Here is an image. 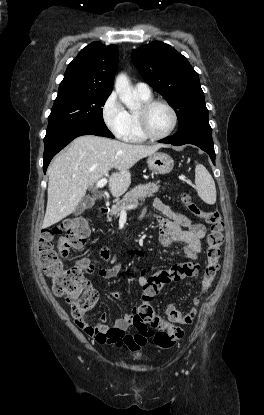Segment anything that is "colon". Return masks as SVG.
Segmentation results:
<instances>
[{"label": "colon", "mask_w": 264, "mask_h": 415, "mask_svg": "<svg viewBox=\"0 0 264 415\" xmlns=\"http://www.w3.org/2000/svg\"><path fill=\"white\" fill-rule=\"evenodd\" d=\"M181 201L193 216L204 219L208 225L206 265L201 288L194 299L193 307L186 313L169 307L165 319L158 317L150 303L153 292L166 284L192 276L197 267L192 263L174 264L160 271L150 280L144 292L145 301L138 308L132 322L138 330V334L135 335L138 341L149 335L153 337L154 344L159 348H170L184 337L185 332L182 326L192 325L196 307L216 277L222 256L224 235L220 212L202 210L186 193L181 195ZM89 236L90 227L87 220L77 217L65 223L61 228L42 230L38 250L43 272L52 282L53 294L57 297H65L74 321L81 328L91 330L93 326L88 321L87 315L96 304L98 293L86 278L83 265H68L64 261L71 251L82 248Z\"/></svg>", "instance_id": "1"}]
</instances>
